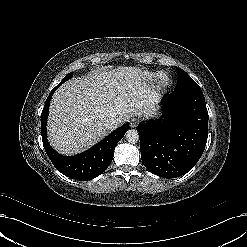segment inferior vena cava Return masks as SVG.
Wrapping results in <instances>:
<instances>
[{
  "mask_svg": "<svg viewBox=\"0 0 247 247\" xmlns=\"http://www.w3.org/2000/svg\"><path fill=\"white\" fill-rule=\"evenodd\" d=\"M120 123H121V120L119 118H110L106 121L104 126L108 130H114L119 126Z\"/></svg>",
  "mask_w": 247,
  "mask_h": 247,
  "instance_id": "1",
  "label": "inferior vena cava"
}]
</instances>
